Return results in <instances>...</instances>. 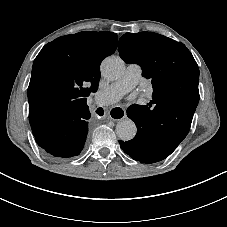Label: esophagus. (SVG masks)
<instances>
[{
    "mask_svg": "<svg viewBox=\"0 0 227 227\" xmlns=\"http://www.w3.org/2000/svg\"><path fill=\"white\" fill-rule=\"evenodd\" d=\"M111 113V116H110ZM108 117L112 120L120 121L126 116V112L122 107H112L107 113Z\"/></svg>",
    "mask_w": 227,
    "mask_h": 227,
    "instance_id": "34e87169",
    "label": "esophagus"
}]
</instances>
